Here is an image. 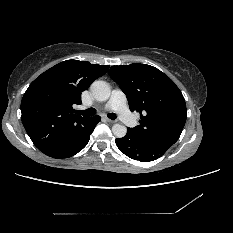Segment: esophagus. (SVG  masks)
I'll list each match as a JSON object with an SVG mask.
<instances>
[{
    "instance_id": "esophagus-1",
    "label": "esophagus",
    "mask_w": 233,
    "mask_h": 233,
    "mask_svg": "<svg viewBox=\"0 0 233 233\" xmlns=\"http://www.w3.org/2000/svg\"><path fill=\"white\" fill-rule=\"evenodd\" d=\"M105 120L108 122V123H115V121L114 120H111V119H108V118H105Z\"/></svg>"
}]
</instances>
